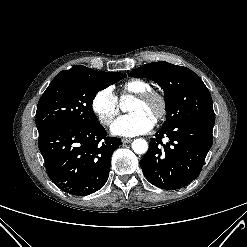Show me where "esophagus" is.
<instances>
[{
	"label": "esophagus",
	"instance_id": "esophagus-1",
	"mask_svg": "<svg viewBox=\"0 0 247 247\" xmlns=\"http://www.w3.org/2000/svg\"><path fill=\"white\" fill-rule=\"evenodd\" d=\"M132 141V139H128V138H123L122 139V142L124 143V144H126V143H130Z\"/></svg>",
	"mask_w": 247,
	"mask_h": 247
}]
</instances>
